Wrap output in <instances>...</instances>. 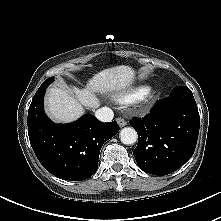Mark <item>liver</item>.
<instances>
[{
	"instance_id": "1",
	"label": "liver",
	"mask_w": 221,
	"mask_h": 221,
	"mask_svg": "<svg viewBox=\"0 0 221 221\" xmlns=\"http://www.w3.org/2000/svg\"><path fill=\"white\" fill-rule=\"evenodd\" d=\"M135 78L130 66L120 65L104 69L88 80L82 89L52 87L47 95V112L56 122L69 123L84 113V107L95 109L100 106L98 94L109 95L128 88Z\"/></svg>"
}]
</instances>
